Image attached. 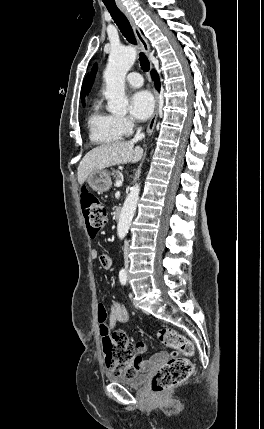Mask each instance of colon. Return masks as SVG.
Returning <instances> with one entry per match:
<instances>
[{
  "label": "colon",
  "mask_w": 264,
  "mask_h": 429,
  "mask_svg": "<svg viewBox=\"0 0 264 429\" xmlns=\"http://www.w3.org/2000/svg\"><path fill=\"white\" fill-rule=\"evenodd\" d=\"M82 212L89 234L94 237L106 224V206L90 191L83 189L80 194ZM98 322L106 330V309L102 305L97 308ZM159 339L167 347L180 351L185 357L172 354L157 370L152 379V390L163 393L187 380L193 373L192 362L187 358L195 353L194 345L183 335L171 328L159 331ZM104 360L107 367L115 374L130 376L136 373L131 367L135 357L133 345L124 333L110 334L103 344Z\"/></svg>",
  "instance_id": "obj_1"
}]
</instances>
